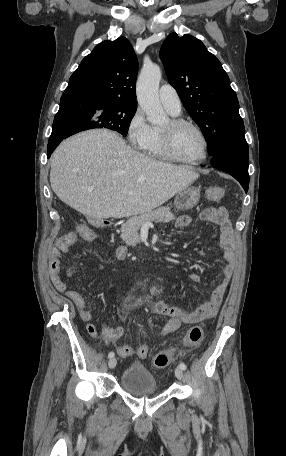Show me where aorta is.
<instances>
[{"label": "aorta", "instance_id": "obj_1", "mask_svg": "<svg viewBox=\"0 0 286 456\" xmlns=\"http://www.w3.org/2000/svg\"><path fill=\"white\" fill-rule=\"evenodd\" d=\"M161 69L156 64L144 65L138 77L136 93L140 107L147 115V120L153 125L166 122L167 115L159 101V82Z\"/></svg>", "mask_w": 286, "mask_h": 456}]
</instances>
